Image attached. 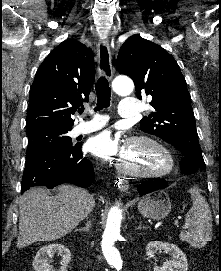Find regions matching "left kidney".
Returning a JSON list of instances; mask_svg holds the SVG:
<instances>
[{
    "label": "left kidney",
    "mask_w": 221,
    "mask_h": 271,
    "mask_svg": "<svg viewBox=\"0 0 221 271\" xmlns=\"http://www.w3.org/2000/svg\"><path fill=\"white\" fill-rule=\"evenodd\" d=\"M165 251L171 255V259L164 261L163 265L153 263V271H187L188 261L185 253L178 245L169 243V241H148L146 245V253L148 257L155 259L157 251Z\"/></svg>",
    "instance_id": "left-kidney-1"
}]
</instances>
